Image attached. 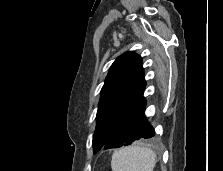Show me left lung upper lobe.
I'll return each mask as SVG.
<instances>
[{"label":"left lung upper lobe","mask_w":223,"mask_h":171,"mask_svg":"<svg viewBox=\"0 0 223 171\" xmlns=\"http://www.w3.org/2000/svg\"><path fill=\"white\" fill-rule=\"evenodd\" d=\"M145 86L140 56L129 51L114 61L101 90L93 136L94 152L101 149L118 123L144 92Z\"/></svg>","instance_id":"5c2ea615"}]
</instances>
